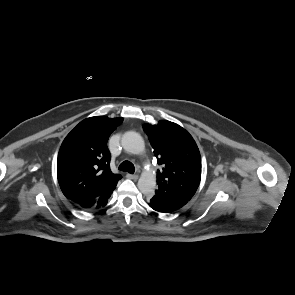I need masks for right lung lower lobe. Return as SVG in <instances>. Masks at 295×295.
Segmentation results:
<instances>
[{
  "mask_svg": "<svg viewBox=\"0 0 295 295\" xmlns=\"http://www.w3.org/2000/svg\"><path fill=\"white\" fill-rule=\"evenodd\" d=\"M117 185V182L115 184H113L112 186H110L108 189H106L102 194H100L98 197L87 201V202H83V203H77L79 206H81L82 208H93V209H99V208H103L107 202L108 199L110 198L111 194L113 193V190L115 189Z\"/></svg>",
  "mask_w": 295,
  "mask_h": 295,
  "instance_id": "98d812e1",
  "label": "right lung lower lobe"
}]
</instances>
